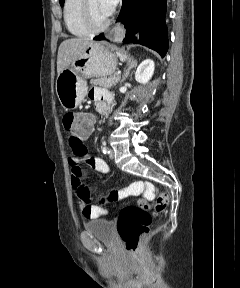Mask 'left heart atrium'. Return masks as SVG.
<instances>
[{
    "label": "left heart atrium",
    "mask_w": 240,
    "mask_h": 288,
    "mask_svg": "<svg viewBox=\"0 0 240 288\" xmlns=\"http://www.w3.org/2000/svg\"><path fill=\"white\" fill-rule=\"evenodd\" d=\"M117 3H118V0H99V4H100L102 11L108 17L113 13Z\"/></svg>",
    "instance_id": "39dd6f15"
}]
</instances>
